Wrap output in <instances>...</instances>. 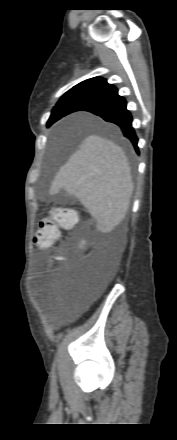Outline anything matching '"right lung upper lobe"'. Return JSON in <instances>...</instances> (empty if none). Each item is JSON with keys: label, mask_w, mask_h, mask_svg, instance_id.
Returning a JSON list of instances; mask_svg holds the SVG:
<instances>
[{"label": "right lung upper lobe", "mask_w": 177, "mask_h": 440, "mask_svg": "<svg viewBox=\"0 0 177 440\" xmlns=\"http://www.w3.org/2000/svg\"><path fill=\"white\" fill-rule=\"evenodd\" d=\"M68 92L91 97L96 102L117 93V89L112 84H108L105 79L101 77H94L77 84ZM58 119L60 118H57L55 115H51L48 125H51Z\"/></svg>", "instance_id": "obj_1"}]
</instances>
